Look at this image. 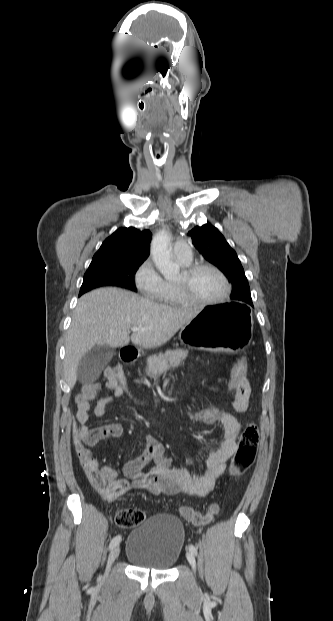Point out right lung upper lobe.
Instances as JSON below:
<instances>
[{
    "mask_svg": "<svg viewBox=\"0 0 333 621\" xmlns=\"http://www.w3.org/2000/svg\"><path fill=\"white\" fill-rule=\"evenodd\" d=\"M152 233L134 227L119 228L109 236L93 256L92 262L127 260L144 262L150 253Z\"/></svg>",
    "mask_w": 333,
    "mask_h": 621,
    "instance_id": "right-lung-upper-lobe-1",
    "label": "right lung upper lobe"
}]
</instances>
